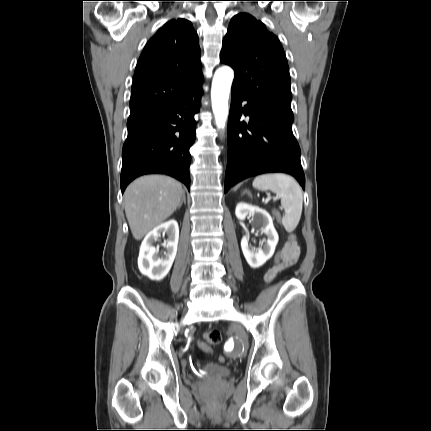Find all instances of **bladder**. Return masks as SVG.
<instances>
[{"label":"bladder","instance_id":"obj_1","mask_svg":"<svg viewBox=\"0 0 431 431\" xmlns=\"http://www.w3.org/2000/svg\"><path fill=\"white\" fill-rule=\"evenodd\" d=\"M232 373V369L225 365L207 363L202 368L201 376L206 379H222L231 376Z\"/></svg>","mask_w":431,"mask_h":431}]
</instances>
